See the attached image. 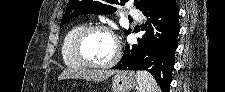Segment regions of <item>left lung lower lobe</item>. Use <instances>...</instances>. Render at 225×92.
<instances>
[{
	"label": "left lung lower lobe",
	"instance_id": "0a47b994",
	"mask_svg": "<svg viewBox=\"0 0 225 92\" xmlns=\"http://www.w3.org/2000/svg\"><path fill=\"white\" fill-rule=\"evenodd\" d=\"M144 14L150 17L147 32L138 39V45H126L122 59L113 69L146 70L163 92H169L180 31L176 0H160Z\"/></svg>",
	"mask_w": 225,
	"mask_h": 92
}]
</instances>
